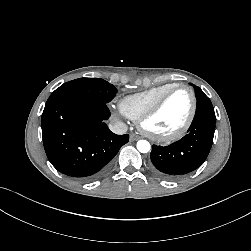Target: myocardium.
Returning <instances> with one entry per match:
<instances>
[{
    "label": "myocardium",
    "instance_id": "myocardium-1",
    "mask_svg": "<svg viewBox=\"0 0 251 251\" xmlns=\"http://www.w3.org/2000/svg\"><path fill=\"white\" fill-rule=\"evenodd\" d=\"M181 89H185V90L189 91V93L191 94V98H192V105H191V110H190L188 118L186 119L184 124L173 133L165 134V135H159V134L152 133L147 128V122L159 112V110L161 109V107L163 106V104L165 103L167 98L172 93H174L175 91L181 90ZM196 112H197V97H196L195 91L187 85H175L172 88H170L169 90H167L166 92H164L154 102V104L147 111H145L142 114V116L138 119V127L146 137H148L149 139H151L153 141L162 142V143L172 142V141L180 139L181 137H183L186 134V132L189 130V128L191 127V125L195 119Z\"/></svg>",
    "mask_w": 251,
    "mask_h": 251
}]
</instances>
